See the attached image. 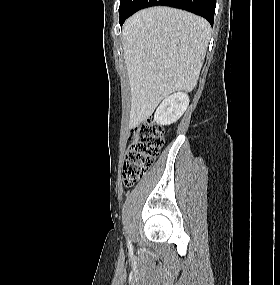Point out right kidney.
I'll list each match as a JSON object with an SVG mask.
<instances>
[{"label": "right kidney", "instance_id": "obj_1", "mask_svg": "<svg viewBox=\"0 0 280 285\" xmlns=\"http://www.w3.org/2000/svg\"><path fill=\"white\" fill-rule=\"evenodd\" d=\"M189 97L186 93L178 92L166 97L157 108L154 121L160 125L175 123L187 110Z\"/></svg>", "mask_w": 280, "mask_h": 285}]
</instances>
